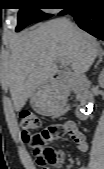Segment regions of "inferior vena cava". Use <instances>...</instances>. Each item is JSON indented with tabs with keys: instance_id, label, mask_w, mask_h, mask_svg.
Returning a JSON list of instances; mask_svg holds the SVG:
<instances>
[{
	"instance_id": "inferior-vena-cava-1",
	"label": "inferior vena cava",
	"mask_w": 104,
	"mask_h": 169,
	"mask_svg": "<svg viewBox=\"0 0 104 169\" xmlns=\"http://www.w3.org/2000/svg\"><path fill=\"white\" fill-rule=\"evenodd\" d=\"M68 22H69V24L72 26V23L69 21V19H68Z\"/></svg>"
}]
</instances>
